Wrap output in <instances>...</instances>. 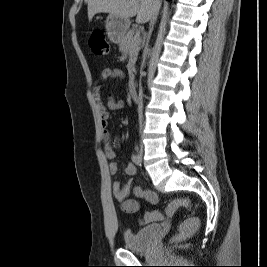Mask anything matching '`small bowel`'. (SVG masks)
Segmentation results:
<instances>
[{
	"label": "small bowel",
	"mask_w": 267,
	"mask_h": 267,
	"mask_svg": "<svg viewBox=\"0 0 267 267\" xmlns=\"http://www.w3.org/2000/svg\"><path fill=\"white\" fill-rule=\"evenodd\" d=\"M122 72L115 68H105L101 73V79L106 81L116 77H121ZM93 98L99 113L101 120V125L103 128V143H104V154L106 158L110 161L109 172L115 175L118 171V163L116 162V145L117 140L112 137L108 131V121H109V110H120L124 107V102L121 99L109 95L107 102L104 103L101 95V87L97 86L93 90ZM136 167L132 163L124 165V172L126 175L132 176L136 174ZM132 189V184L130 181L125 183H120L115 181L112 185V192L116 200L121 203L122 210L126 213H136L140 209V204L135 199L128 198L130 191ZM134 194L138 198L146 200L149 204L155 205L158 203V196L155 192L151 190H146L140 186L133 188Z\"/></svg>",
	"instance_id": "small-bowel-1"
}]
</instances>
